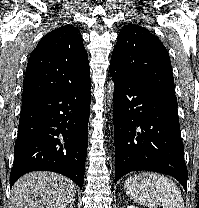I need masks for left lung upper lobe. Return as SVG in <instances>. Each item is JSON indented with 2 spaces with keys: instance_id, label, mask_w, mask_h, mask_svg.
<instances>
[{
  "instance_id": "5c2ea615",
  "label": "left lung upper lobe",
  "mask_w": 199,
  "mask_h": 208,
  "mask_svg": "<svg viewBox=\"0 0 199 208\" xmlns=\"http://www.w3.org/2000/svg\"><path fill=\"white\" fill-rule=\"evenodd\" d=\"M110 64L138 80L174 93L169 54L159 38L141 26L128 24L122 28Z\"/></svg>"
}]
</instances>
